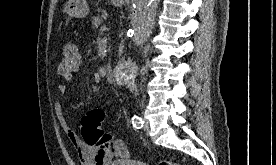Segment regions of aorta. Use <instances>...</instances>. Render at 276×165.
<instances>
[{"label":"aorta","mask_w":276,"mask_h":165,"mask_svg":"<svg viewBox=\"0 0 276 165\" xmlns=\"http://www.w3.org/2000/svg\"><path fill=\"white\" fill-rule=\"evenodd\" d=\"M159 1L132 0L133 33L137 45L143 44L152 34ZM134 72L135 67L128 62L120 64L116 69V73L121 77H129Z\"/></svg>","instance_id":"obj_1"}]
</instances>
